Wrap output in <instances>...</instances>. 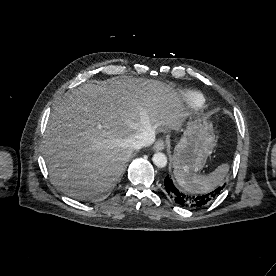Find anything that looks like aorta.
<instances>
[{
    "label": "aorta",
    "mask_w": 276,
    "mask_h": 276,
    "mask_svg": "<svg viewBox=\"0 0 276 276\" xmlns=\"http://www.w3.org/2000/svg\"><path fill=\"white\" fill-rule=\"evenodd\" d=\"M152 161L158 168H164L167 165V157L161 152L155 153Z\"/></svg>",
    "instance_id": "obj_1"
}]
</instances>
